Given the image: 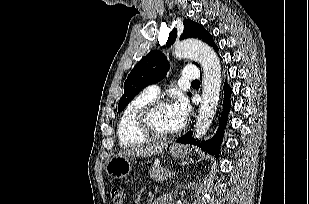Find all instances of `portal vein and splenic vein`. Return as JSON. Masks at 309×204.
I'll use <instances>...</instances> for the list:
<instances>
[{
  "label": "portal vein and splenic vein",
  "mask_w": 309,
  "mask_h": 204,
  "mask_svg": "<svg viewBox=\"0 0 309 204\" xmlns=\"http://www.w3.org/2000/svg\"><path fill=\"white\" fill-rule=\"evenodd\" d=\"M175 175V171H169V176H174Z\"/></svg>",
  "instance_id": "portal-vein-and-splenic-vein-1"
}]
</instances>
